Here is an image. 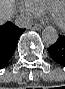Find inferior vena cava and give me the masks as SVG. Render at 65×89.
<instances>
[{
    "mask_svg": "<svg viewBox=\"0 0 65 89\" xmlns=\"http://www.w3.org/2000/svg\"><path fill=\"white\" fill-rule=\"evenodd\" d=\"M31 23V19L25 15H21L15 20V25L20 28H27L31 25Z\"/></svg>",
    "mask_w": 65,
    "mask_h": 89,
    "instance_id": "inferior-vena-cava-1",
    "label": "inferior vena cava"
}]
</instances>
